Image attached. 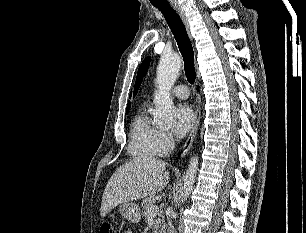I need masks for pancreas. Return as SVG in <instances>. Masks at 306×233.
<instances>
[{"label": "pancreas", "mask_w": 306, "mask_h": 233, "mask_svg": "<svg viewBox=\"0 0 306 233\" xmlns=\"http://www.w3.org/2000/svg\"><path fill=\"white\" fill-rule=\"evenodd\" d=\"M155 204V198L154 196H150L146 199H144L141 203L142 208V216L146 219L149 217L148 215V209L150 206H153ZM154 233H165V225H164V216L160 212L158 213V217L154 215Z\"/></svg>", "instance_id": "pancreas-1"}]
</instances>
